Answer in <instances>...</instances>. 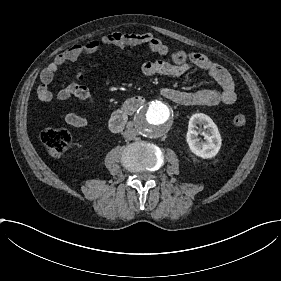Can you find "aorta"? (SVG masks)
Returning a JSON list of instances; mask_svg holds the SVG:
<instances>
[{
	"mask_svg": "<svg viewBox=\"0 0 281 281\" xmlns=\"http://www.w3.org/2000/svg\"><path fill=\"white\" fill-rule=\"evenodd\" d=\"M134 118L137 130L149 138L162 136L171 126L170 109L161 101H153L141 106Z\"/></svg>",
	"mask_w": 281,
	"mask_h": 281,
	"instance_id": "762f6f07",
	"label": "aorta"
}]
</instances>
